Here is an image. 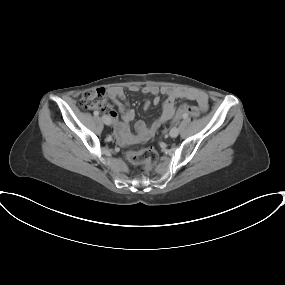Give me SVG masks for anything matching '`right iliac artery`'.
<instances>
[{"label":"right iliac artery","mask_w":285,"mask_h":285,"mask_svg":"<svg viewBox=\"0 0 285 285\" xmlns=\"http://www.w3.org/2000/svg\"><path fill=\"white\" fill-rule=\"evenodd\" d=\"M94 115H99V112H98V111H95V112H94Z\"/></svg>","instance_id":"1"}]
</instances>
